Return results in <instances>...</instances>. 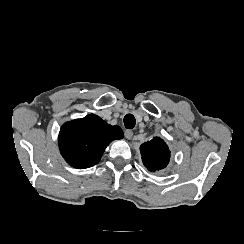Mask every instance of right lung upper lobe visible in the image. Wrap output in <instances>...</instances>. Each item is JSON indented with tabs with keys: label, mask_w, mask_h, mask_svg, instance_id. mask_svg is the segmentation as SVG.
<instances>
[{
	"label": "right lung upper lobe",
	"mask_w": 244,
	"mask_h": 244,
	"mask_svg": "<svg viewBox=\"0 0 244 244\" xmlns=\"http://www.w3.org/2000/svg\"><path fill=\"white\" fill-rule=\"evenodd\" d=\"M121 138L123 131L119 126H111L90 114L66 122L60 129L58 143L62 156L72 167L85 169L97 164L106 147Z\"/></svg>",
	"instance_id": "cb5924a9"
}]
</instances>
